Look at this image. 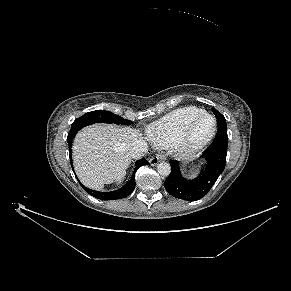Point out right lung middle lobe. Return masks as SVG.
Here are the masks:
<instances>
[{"label":"right lung middle lobe","instance_id":"dd1d6c3e","mask_svg":"<svg viewBox=\"0 0 291 291\" xmlns=\"http://www.w3.org/2000/svg\"><path fill=\"white\" fill-rule=\"evenodd\" d=\"M93 123H114L130 125L132 121L124 119L121 116L116 115L110 111L96 110L84 114L73 122L74 125H81L82 127Z\"/></svg>","mask_w":291,"mask_h":291}]
</instances>
